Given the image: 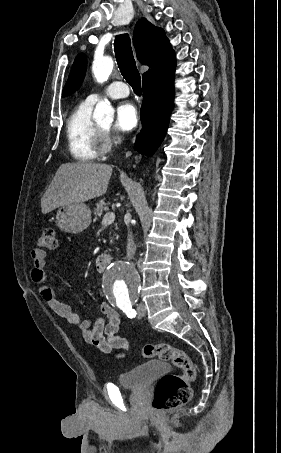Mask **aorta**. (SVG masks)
I'll return each mask as SVG.
<instances>
[{"label":"aorta","mask_w":281,"mask_h":453,"mask_svg":"<svg viewBox=\"0 0 281 453\" xmlns=\"http://www.w3.org/2000/svg\"><path fill=\"white\" fill-rule=\"evenodd\" d=\"M114 63L110 57L96 58L92 71L97 82L108 80ZM114 109L105 99L100 101L94 110L93 118L98 122H112ZM140 276L131 266L120 262L109 265L102 277V290L106 299L119 307L130 304L138 298L140 292Z\"/></svg>","instance_id":"aorta-1"}]
</instances>
